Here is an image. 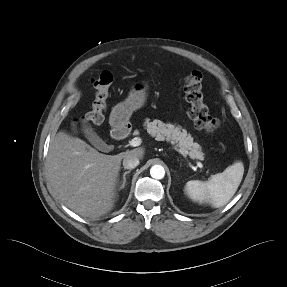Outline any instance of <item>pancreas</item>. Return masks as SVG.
Instances as JSON below:
<instances>
[{"mask_svg": "<svg viewBox=\"0 0 287 287\" xmlns=\"http://www.w3.org/2000/svg\"><path fill=\"white\" fill-rule=\"evenodd\" d=\"M147 132L158 141L166 140L176 144L184 155H189L192 159H204L202 147L193 141V137L187 133L180 125L164 123L160 120L146 119L144 123Z\"/></svg>", "mask_w": 287, "mask_h": 287, "instance_id": "cf45deb5", "label": "pancreas"}]
</instances>
